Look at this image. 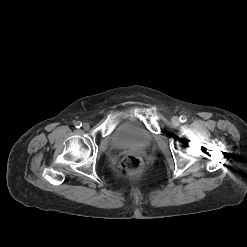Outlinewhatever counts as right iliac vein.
Listing matches in <instances>:
<instances>
[{
  "label": "right iliac vein",
  "instance_id": "63e3f726",
  "mask_svg": "<svg viewBox=\"0 0 247 247\" xmlns=\"http://www.w3.org/2000/svg\"><path fill=\"white\" fill-rule=\"evenodd\" d=\"M83 128H84V130H89V128H90L89 123H84Z\"/></svg>",
  "mask_w": 247,
  "mask_h": 247
}]
</instances>
